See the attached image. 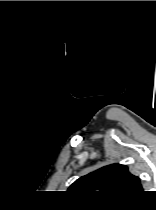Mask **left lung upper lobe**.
Instances as JSON below:
<instances>
[{"mask_svg":"<svg viewBox=\"0 0 156 210\" xmlns=\"http://www.w3.org/2000/svg\"><path fill=\"white\" fill-rule=\"evenodd\" d=\"M69 190L128 196L142 193L143 188L139 177L131 174L127 166L112 164L80 177Z\"/></svg>","mask_w":156,"mask_h":210,"instance_id":"1","label":"left lung upper lobe"}]
</instances>
